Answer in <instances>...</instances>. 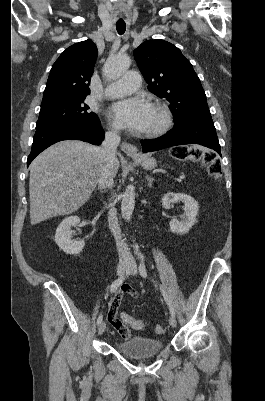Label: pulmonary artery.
Returning a JSON list of instances; mask_svg holds the SVG:
<instances>
[{
  "label": "pulmonary artery",
  "mask_w": 265,
  "mask_h": 401,
  "mask_svg": "<svg viewBox=\"0 0 265 401\" xmlns=\"http://www.w3.org/2000/svg\"><path fill=\"white\" fill-rule=\"evenodd\" d=\"M139 82L140 77L136 72H127L126 75H120L119 81L113 80L115 90L108 91L105 94V97L109 99L115 98V100L120 101L122 100L123 95H138Z\"/></svg>",
  "instance_id": "1"
}]
</instances>
